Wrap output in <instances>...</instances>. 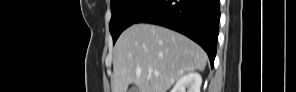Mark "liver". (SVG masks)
Returning a JSON list of instances; mask_svg holds the SVG:
<instances>
[{"label":"liver","instance_id":"liver-1","mask_svg":"<svg viewBox=\"0 0 296 92\" xmlns=\"http://www.w3.org/2000/svg\"><path fill=\"white\" fill-rule=\"evenodd\" d=\"M206 62L205 51L184 35L157 25L134 24L115 45L112 92H126L130 84L138 92H167L185 73L203 71Z\"/></svg>","mask_w":296,"mask_h":92}]
</instances>
